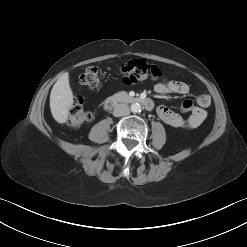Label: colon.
Instances as JSON below:
<instances>
[{"instance_id": "1", "label": "colon", "mask_w": 247, "mask_h": 247, "mask_svg": "<svg viewBox=\"0 0 247 247\" xmlns=\"http://www.w3.org/2000/svg\"><path fill=\"white\" fill-rule=\"evenodd\" d=\"M121 74L123 82L126 84H134L146 79L159 80L163 77L161 70L156 65L144 59H134L124 63L121 66ZM80 82L89 89H97L100 85L99 69L95 66L88 67L81 74ZM193 106V101L188 99L182 102L180 109L182 112H189ZM91 119L92 114L83 108V100L76 97L69 112L68 124L78 128L90 122Z\"/></svg>"}]
</instances>
